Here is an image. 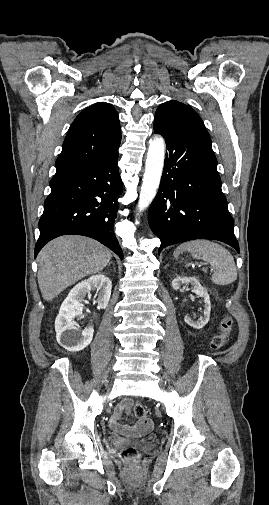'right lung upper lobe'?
Listing matches in <instances>:
<instances>
[{
  "label": "right lung upper lobe",
  "instance_id": "cb5924a9",
  "mask_svg": "<svg viewBox=\"0 0 269 505\" xmlns=\"http://www.w3.org/2000/svg\"><path fill=\"white\" fill-rule=\"evenodd\" d=\"M121 129L115 108L98 102L83 110L70 126L55 166L56 174L107 156L119 148Z\"/></svg>",
  "mask_w": 269,
  "mask_h": 505
}]
</instances>
